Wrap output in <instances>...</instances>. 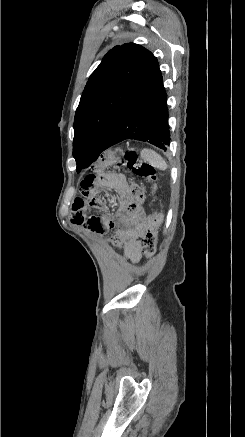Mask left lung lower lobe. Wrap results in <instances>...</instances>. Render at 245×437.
<instances>
[{"mask_svg": "<svg viewBox=\"0 0 245 437\" xmlns=\"http://www.w3.org/2000/svg\"><path fill=\"white\" fill-rule=\"evenodd\" d=\"M125 139L145 141L164 151L170 144L167 94L158 61L119 114L103 151Z\"/></svg>", "mask_w": 245, "mask_h": 437, "instance_id": "obj_1", "label": "left lung lower lobe"}]
</instances>
